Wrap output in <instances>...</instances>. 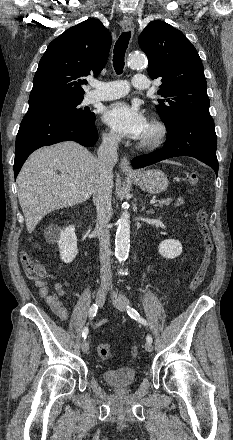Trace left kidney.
I'll return each instance as SVG.
<instances>
[{"instance_id": "obj_1", "label": "left kidney", "mask_w": 233, "mask_h": 440, "mask_svg": "<svg viewBox=\"0 0 233 440\" xmlns=\"http://www.w3.org/2000/svg\"><path fill=\"white\" fill-rule=\"evenodd\" d=\"M158 250L164 258L174 259L182 253V245L178 240L167 239L159 244Z\"/></svg>"}]
</instances>
